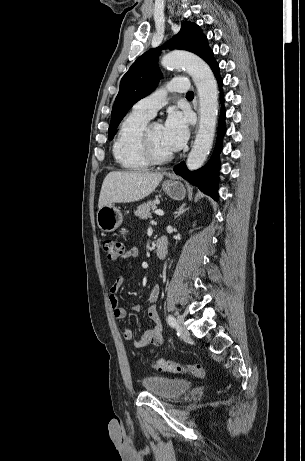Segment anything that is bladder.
Masks as SVG:
<instances>
[{
	"label": "bladder",
	"mask_w": 305,
	"mask_h": 461,
	"mask_svg": "<svg viewBox=\"0 0 305 461\" xmlns=\"http://www.w3.org/2000/svg\"><path fill=\"white\" fill-rule=\"evenodd\" d=\"M143 388L163 399L172 400L180 397L190 389V382L180 378H168L149 375L141 380Z\"/></svg>",
	"instance_id": "bladder-1"
}]
</instances>
